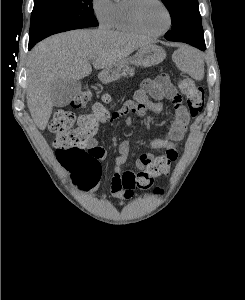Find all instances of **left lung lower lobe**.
Wrapping results in <instances>:
<instances>
[{"label": "left lung lower lobe", "mask_w": 245, "mask_h": 300, "mask_svg": "<svg viewBox=\"0 0 245 300\" xmlns=\"http://www.w3.org/2000/svg\"><path fill=\"white\" fill-rule=\"evenodd\" d=\"M169 41H179L185 42L190 45H193L201 50H205V42H204V33L196 32L188 37H176V38H169Z\"/></svg>", "instance_id": "obj_1"}]
</instances>
